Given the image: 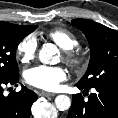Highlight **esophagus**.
I'll return each mask as SVG.
<instances>
[{
	"mask_svg": "<svg viewBox=\"0 0 118 118\" xmlns=\"http://www.w3.org/2000/svg\"><path fill=\"white\" fill-rule=\"evenodd\" d=\"M38 94H39V96H43V97H52V96H55V94L49 93V92H45V91H40Z\"/></svg>",
	"mask_w": 118,
	"mask_h": 118,
	"instance_id": "1",
	"label": "esophagus"
}]
</instances>
